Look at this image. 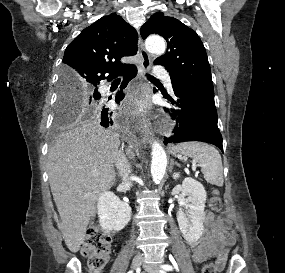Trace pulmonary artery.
<instances>
[{"label":"pulmonary artery","instance_id":"e3ab8cb5","mask_svg":"<svg viewBox=\"0 0 285 273\" xmlns=\"http://www.w3.org/2000/svg\"><path fill=\"white\" fill-rule=\"evenodd\" d=\"M154 73L156 76L162 77L165 80L168 88L172 90L171 78H170V75L167 69H165L164 67L157 66L154 68ZM106 87H107L106 85L102 86V88H106Z\"/></svg>","mask_w":285,"mask_h":273}]
</instances>
